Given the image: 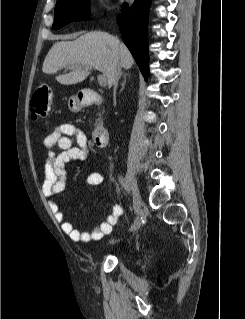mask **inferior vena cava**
Segmentation results:
<instances>
[{
  "label": "inferior vena cava",
  "instance_id": "1",
  "mask_svg": "<svg viewBox=\"0 0 245 319\" xmlns=\"http://www.w3.org/2000/svg\"><path fill=\"white\" fill-rule=\"evenodd\" d=\"M122 72H121V67L118 66L113 74V79H112V84L114 86V94L116 92V88H117V85H118V81H119V78L121 76Z\"/></svg>",
  "mask_w": 245,
  "mask_h": 319
}]
</instances>
